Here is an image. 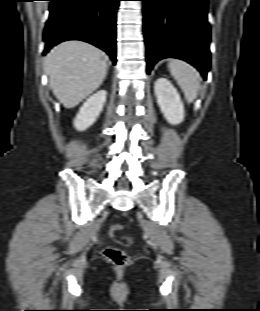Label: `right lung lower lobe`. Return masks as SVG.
<instances>
[{
  "label": "right lung lower lobe",
  "instance_id": "1",
  "mask_svg": "<svg viewBox=\"0 0 260 311\" xmlns=\"http://www.w3.org/2000/svg\"><path fill=\"white\" fill-rule=\"evenodd\" d=\"M45 55L66 40H82L104 50L116 64V13L120 0H49Z\"/></svg>",
  "mask_w": 260,
  "mask_h": 311
}]
</instances>
